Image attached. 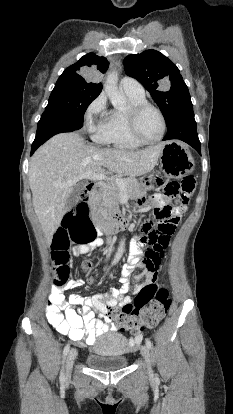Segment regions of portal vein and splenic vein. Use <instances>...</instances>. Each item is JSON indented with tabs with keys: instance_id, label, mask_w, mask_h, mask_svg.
I'll use <instances>...</instances> for the list:
<instances>
[{
	"instance_id": "1",
	"label": "portal vein and splenic vein",
	"mask_w": 233,
	"mask_h": 414,
	"mask_svg": "<svg viewBox=\"0 0 233 414\" xmlns=\"http://www.w3.org/2000/svg\"><path fill=\"white\" fill-rule=\"evenodd\" d=\"M84 177L87 178V179H90V180H106V179H108V177L105 176L104 174H97V173H87ZM113 181L118 186H120L122 188H125L126 187V182H124L120 178H114Z\"/></svg>"
}]
</instances>
